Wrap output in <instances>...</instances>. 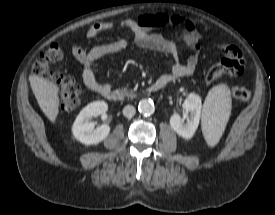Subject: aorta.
I'll return each instance as SVG.
<instances>
[{"mask_svg": "<svg viewBox=\"0 0 275 215\" xmlns=\"http://www.w3.org/2000/svg\"><path fill=\"white\" fill-rule=\"evenodd\" d=\"M138 111L142 115H150V114L154 113L155 106L152 101L147 100V99H142L138 104Z\"/></svg>", "mask_w": 275, "mask_h": 215, "instance_id": "1", "label": "aorta"}]
</instances>
